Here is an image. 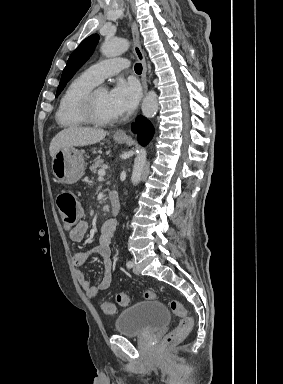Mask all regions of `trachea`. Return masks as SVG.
Returning <instances> with one entry per match:
<instances>
[{"label": "trachea", "mask_w": 283, "mask_h": 384, "mask_svg": "<svg viewBox=\"0 0 283 384\" xmlns=\"http://www.w3.org/2000/svg\"><path fill=\"white\" fill-rule=\"evenodd\" d=\"M135 72L137 73V74H141L142 73V65H141V63H137V64H135Z\"/></svg>", "instance_id": "obj_1"}]
</instances>
